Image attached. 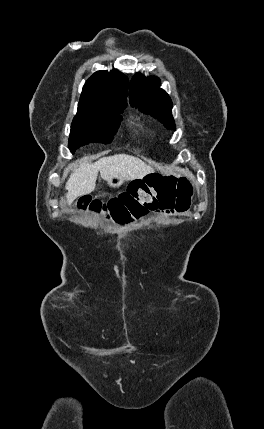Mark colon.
I'll use <instances>...</instances> for the list:
<instances>
[{
	"label": "colon",
	"instance_id": "1",
	"mask_svg": "<svg viewBox=\"0 0 264 429\" xmlns=\"http://www.w3.org/2000/svg\"><path fill=\"white\" fill-rule=\"evenodd\" d=\"M192 186L187 181L158 179L135 181L129 188L106 203L81 198L77 208L102 214L106 219L120 223L140 217L149 211L183 212L190 207Z\"/></svg>",
	"mask_w": 264,
	"mask_h": 429
}]
</instances>
